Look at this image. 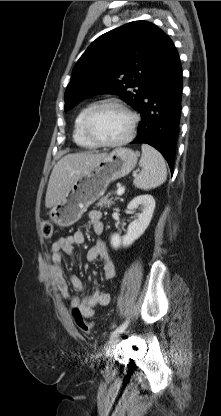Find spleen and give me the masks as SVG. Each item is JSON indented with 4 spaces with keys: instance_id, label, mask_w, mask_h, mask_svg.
<instances>
[{
    "instance_id": "obj_1",
    "label": "spleen",
    "mask_w": 221,
    "mask_h": 416,
    "mask_svg": "<svg viewBox=\"0 0 221 416\" xmlns=\"http://www.w3.org/2000/svg\"><path fill=\"white\" fill-rule=\"evenodd\" d=\"M142 156L139 162L142 170L135 175L133 184L143 190L156 188L167 178V169L163 156L148 144H142Z\"/></svg>"
}]
</instances>
